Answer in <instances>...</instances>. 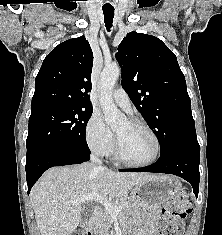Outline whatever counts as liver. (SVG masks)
I'll return each instance as SVG.
<instances>
[{
	"instance_id": "6515ba94",
	"label": "liver",
	"mask_w": 222,
	"mask_h": 235,
	"mask_svg": "<svg viewBox=\"0 0 222 235\" xmlns=\"http://www.w3.org/2000/svg\"><path fill=\"white\" fill-rule=\"evenodd\" d=\"M154 177L146 173L115 172L94 163L50 168L30 193L41 235H71L81 221L80 196L96 192L103 197H126L134 187Z\"/></svg>"
}]
</instances>
